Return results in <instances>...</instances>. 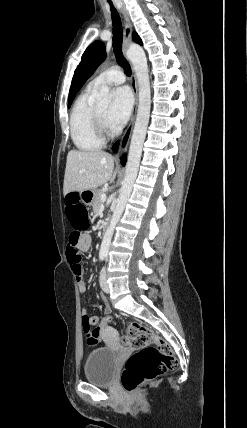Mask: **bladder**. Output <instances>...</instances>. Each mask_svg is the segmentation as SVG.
Segmentation results:
<instances>
[{
	"label": "bladder",
	"instance_id": "obj_1",
	"mask_svg": "<svg viewBox=\"0 0 247 428\" xmlns=\"http://www.w3.org/2000/svg\"><path fill=\"white\" fill-rule=\"evenodd\" d=\"M118 369V356L115 349L99 347L92 350L84 365L85 379L96 385L113 383Z\"/></svg>",
	"mask_w": 247,
	"mask_h": 428
}]
</instances>
